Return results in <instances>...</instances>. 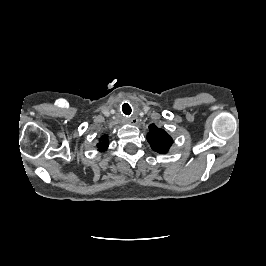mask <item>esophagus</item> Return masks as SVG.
<instances>
[{"mask_svg": "<svg viewBox=\"0 0 266 266\" xmlns=\"http://www.w3.org/2000/svg\"><path fill=\"white\" fill-rule=\"evenodd\" d=\"M130 123H132L133 125H136L138 123V119L136 117H132L130 119Z\"/></svg>", "mask_w": 266, "mask_h": 266, "instance_id": "1", "label": "esophagus"}]
</instances>
